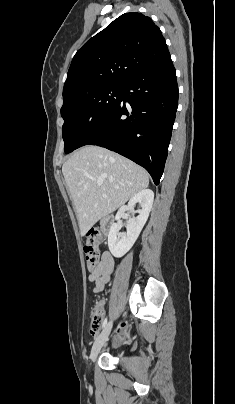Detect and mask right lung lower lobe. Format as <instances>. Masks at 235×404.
<instances>
[{
  "mask_svg": "<svg viewBox=\"0 0 235 404\" xmlns=\"http://www.w3.org/2000/svg\"><path fill=\"white\" fill-rule=\"evenodd\" d=\"M177 106L176 70L169 56L123 84L121 101L78 148L91 144L117 152L144 167L158 185Z\"/></svg>",
  "mask_w": 235,
  "mask_h": 404,
  "instance_id": "right-lung-lower-lobe-1",
  "label": "right lung lower lobe"
}]
</instances>
